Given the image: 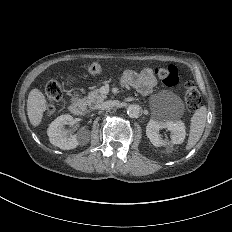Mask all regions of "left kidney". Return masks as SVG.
Here are the masks:
<instances>
[{"label":"left kidney","instance_id":"1","mask_svg":"<svg viewBox=\"0 0 232 232\" xmlns=\"http://www.w3.org/2000/svg\"><path fill=\"white\" fill-rule=\"evenodd\" d=\"M167 128L173 132L171 140H163L159 134L161 129ZM146 134L150 139V142L155 147L178 145L182 144L186 137V125L182 120L170 121V120H151L146 127Z\"/></svg>","mask_w":232,"mask_h":232}]
</instances>
